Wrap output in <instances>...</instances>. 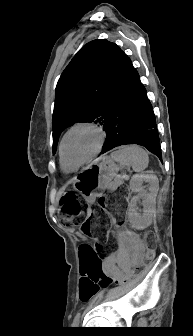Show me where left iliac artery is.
I'll list each match as a JSON object with an SVG mask.
<instances>
[{"label":"left iliac artery","instance_id":"left-iliac-artery-1","mask_svg":"<svg viewBox=\"0 0 193 336\" xmlns=\"http://www.w3.org/2000/svg\"><path fill=\"white\" fill-rule=\"evenodd\" d=\"M79 320H80V313H77L72 323L73 327H76L79 324Z\"/></svg>","mask_w":193,"mask_h":336}]
</instances>
